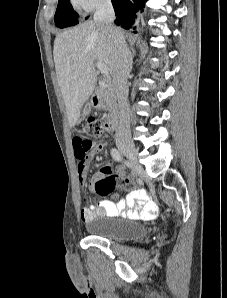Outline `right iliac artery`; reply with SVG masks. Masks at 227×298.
Listing matches in <instances>:
<instances>
[{
    "instance_id": "obj_1",
    "label": "right iliac artery",
    "mask_w": 227,
    "mask_h": 298,
    "mask_svg": "<svg viewBox=\"0 0 227 298\" xmlns=\"http://www.w3.org/2000/svg\"><path fill=\"white\" fill-rule=\"evenodd\" d=\"M111 156L113 157V159H115L118 162L123 161V157H122L121 153L116 148H113L111 150Z\"/></svg>"
}]
</instances>
